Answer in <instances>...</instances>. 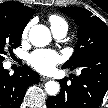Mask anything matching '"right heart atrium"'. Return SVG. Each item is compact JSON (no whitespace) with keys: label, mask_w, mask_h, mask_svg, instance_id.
<instances>
[{"label":"right heart atrium","mask_w":108,"mask_h":108,"mask_svg":"<svg viewBox=\"0 0 108 108\" xmlns=\"http://www.w3.org/2000/svg\"><path fill=\"white\" fill-rule=\"evenodd\" d=\"M28 30H29V25L25 27L24 31H23V37H26L28 34Z\"/></svg>","instance_id":"obj_1"}]
</instances>
